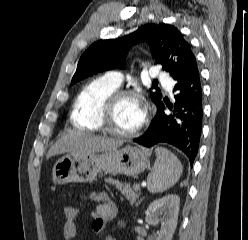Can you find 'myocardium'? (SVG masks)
<instances>
[{
    "label": "myocardium",
    "mask_w": 248,
    "mask_h": 240,
    "mask_svg": "<svg viewBox=\"0 0 248 240\" xmlns=\"http://www.w3.org/2000/svg\"><path fill=\"white\" fill-rule=\"evenodd\" d=\"M129 97L137 98V94L131 90L116 89L106 98V100L101 105L98 115V125L102 131L114 136L125 137V138L133 137L139 133V131L141 130V125H138L134 130L123 132L117 130L111 124V119H110L111 112L114 109L115 105L120 99L129 98Z\"/></svg>",
    "instance_id": "1"
}]
</instances>
